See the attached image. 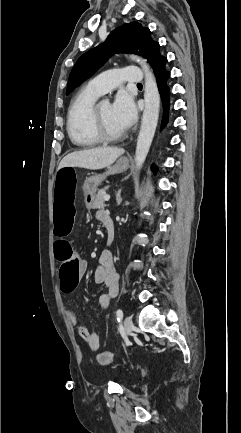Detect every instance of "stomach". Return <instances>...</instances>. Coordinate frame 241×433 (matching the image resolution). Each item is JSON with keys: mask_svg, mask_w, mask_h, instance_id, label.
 Here are the masks:
<instances>
[{"mask_svg": "<svg viewBox=\"0 0 241 433\" xmlns=\"http://www.w3.org/2000/svg\"><path fill=\"white\" fill-rule=\"evenodd\" d=\"M129 168V160L126 157L119 158L115 164L108 167V170L101 175L87 178L82 185L85 204L88 208L92 207L95 199V192L107 175L123 173Z\"/></svg>", "mask_w": 241, "mask_h": 433, "instance_id": "obj_1", "label": "stomach"}]
</instances>
